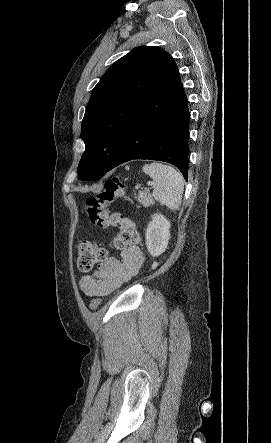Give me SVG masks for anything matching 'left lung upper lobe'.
Masks as SVG:
<instances>
[{"label":"left lung upper lobe","mask_w":271,"mask_h":443,"mask_svg":"<svg viewBox=\"0 0 271 443\" xmlns=\"http://www.w3.org/2000/svg\"><path fill=\"white\" fill-rule=\"evenodd\" d=\"M171 60L159 47L140 46L106 71L92 91L82 121L86 149L78 179L98 180L109 171L134 113Z\"/></svg>","instance_id":"1"}]
</instances>
